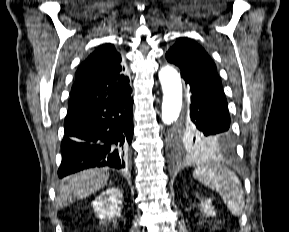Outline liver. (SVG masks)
<instances>
[{"label":"liver","mask_w":289,"mask_h":232,"mask_svg":"<svg viewBox=\"0 0 289 232\" xmlns=\"http://www.w3.org/2000/svg\"><path fill=\"white\" fill-rule=\"evenodd\" d=\"M109 179L106 168L81 171L61 183L56 205L63 207L76 199L88 197L102 189Z\"/></svg>","instance_id":"obj_1"}]
</instances>
